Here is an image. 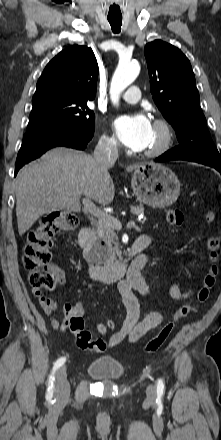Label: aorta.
<instances>
[{
	"label": "aorta",
	"instance_id": "762f6f07",
	"mask_svg": "<svg viewBox=\"0 0 221 440\" xmlns=\"http://www.w3.org/2000/svg\"><path fill=\"white\" fill-rule=\"evenodd\" d=\"M140 72V65L136 61L120 63L112 77L110 85V97L114 104H118L119 97Z\"/></svg>",
	"mask_w": 221,
	"mask_h": 440
}]
</instances>
